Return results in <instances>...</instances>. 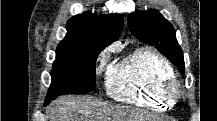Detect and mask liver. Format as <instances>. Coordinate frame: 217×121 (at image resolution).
<instances>
[{
    "label": "liver",
    "instance_id": "obj_1",
    "mask_svg": "<svg viewBox=\"0 0 217 121\" xmlns=\"http://www.w3.org/2000/svg\"><path fill=\"white\" fill-rule=\"evenodd\" d=\"M138 112L123 106H107L89 97L61 96L46 110L47 121H137Z\"/></svg>",
    "mask_w": 217,
    "mask_h": 121
}]
</instances>
